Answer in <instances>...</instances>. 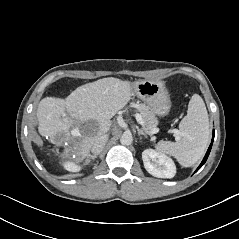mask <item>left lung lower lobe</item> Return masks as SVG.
I'll return each instance as SVG.
<instances>
[{
	"mask_svg": "<svg viewBox=\"0 0 239 239\" xmlns=\"http://www.w3.org/2000/svg\"><path fill=\"white\" fill-rule=\"evenodd\" d=\"M214 133H215V131L213 130L212 142H211V144H210V146H209V148H208V150H207V152H206V155H205L203 161L201 162V164L199 165V167L197 168L196 171H198V170L204 165V163L206 162V160H207V158H208V156H209L210 150H211V148H212V143H213V141H214Z\"/></svg>",
	"mask_w": 239,
	"mask_h": 239,
	"instance_id": "1",
	"label": "left lung lower lobe"
}]
</instances>
